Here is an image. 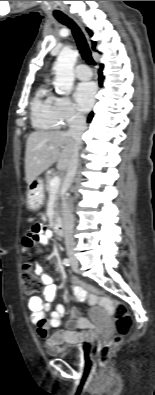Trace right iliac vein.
<instances>
[{"instance_id":"63e3f726","label":"right iliac vein","mask_w":155,"mask_h":395,"mask_svg":"<svg viewBox=\"0 0 155 395\" xmlns=\"http://www.w3.org/2000/svg\"><path fill=\"white\" fill-rule=\"evenodd\" d=\"M72 262H77L75 259H72Z\"/></svg>"}]
</instances>
